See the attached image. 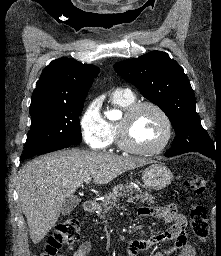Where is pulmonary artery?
I'll return each instance as SVG.
<instances>
[{
    "mask_svg": "<svg viewBox=\"0 0 221 256\" xmlns=\"http://www.w3.org/2000/svg\"><path fill=\"white\" fill-rule=\"evenodd\" d=\"M115 92H124V93H131L129 89H124V90H117Z\"/></svg>",
    "mask_w": 221,
    "mask_h": 256,
    "instance_id": "1",
    "label": "pulmonary artery"
}]
</instances>
